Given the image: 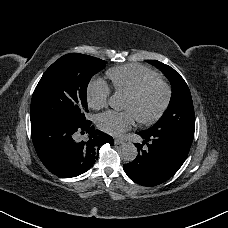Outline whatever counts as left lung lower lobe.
<instances>
[{
  "label": "left lung lower lobe",
  "mask_w": 228,
  "mask_h": 228,
  "mask_svg": "<svg viewBox=\"0 0 228 228\" xmlns=\"http://www.w3.org/2000/svg\"><path fill=\"white\" fill-rule=\"evenodd\" d=\"M143 139L136 143L139 154L124 164L126 174L144 186L159 185L171 178L187 158L194 135L147 129L137 133Z\"/></svg>",
  "instance_id": "left-lung-lower-lobe-1"
}]
</instances>
